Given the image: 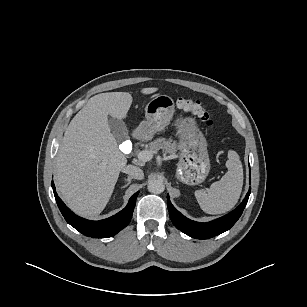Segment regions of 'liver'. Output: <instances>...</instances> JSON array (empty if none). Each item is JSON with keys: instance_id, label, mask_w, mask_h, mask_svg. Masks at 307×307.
Here are the masks:
<instances>
[{"instance_id": "liver-1", "label": "liver", "mask_w": 307, "mask_h": 307, "mask_svg": "<svg viewBox=\"0 0 307 307\" xmlns=\"http://www.w3.org/2000/svg\"><path fill=\"white\" fill-rule=\"evenodd\" d=\"M144 88L142 94L156 92ZM128 92L101 93L89 99L67 127L56 156L55 183L77 214L95 217L106 207L127 159L111 133L108 116L127 117Z\"/></svg>"}]
</instances>
